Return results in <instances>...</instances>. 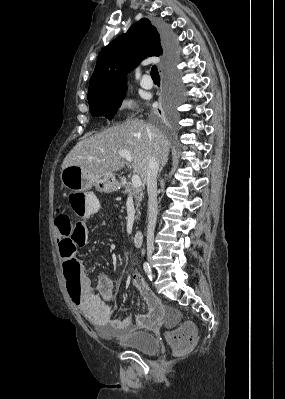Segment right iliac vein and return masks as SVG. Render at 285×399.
<instances>
[{"instance_id": "right-iliac-vein-1", "label": "right iliac vein", "mask_w": 285, "mask_h": 399, "mask_svg": "<svg viewBox=\"0 0 285 399\" xmlns=\"http://www.w3.org/2000/svg\"><path fill=\"white\" fill-rule=\"evenodd\" d=\"M147 258H148L149 264L152 265V253L151 252L148 253Z\"/></svg>"}]
</instances>
